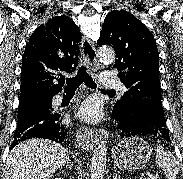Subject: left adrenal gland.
<instances>
[{
  "label": "left adrenal gland",
  "mask_w": 183,
  "mask_h": 179,
  "mask_svg": "<svg viewBox=\"0 0 183 179\" xmlns=\"http://www.w3.org/2000/svg\"><path fill=\"white\" fill-rule=\"evenodd\" d=\"M119 178H120V176L117 174L113 177V179H119Z\"/></svg>",
  "instance_id": "obj_1"
}]
</instances>
